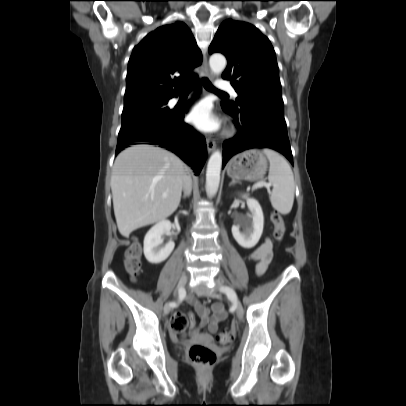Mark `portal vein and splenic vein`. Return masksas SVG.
<instances>
[{
    "label": "portal vein and splenic vein",
    "mask_w": 406,
    "mask_h": 406,
    "mask_svg": "<svg viewBox=\"0 0 406 406\" xmlns=\"http://www.w3.org/2000/svg\"><path fill=\"white\" fill-rule=\"evenodd\" d=\"M271 186V184L266 183V182H257L256 184H254L253 186V190L257 189V188H261V187H266L269 188ZM167 194H163V197H166Z\"/></svg>",
    "instance_id": "portal-vein-and-splenic-vein-1"
}]
</instances>
